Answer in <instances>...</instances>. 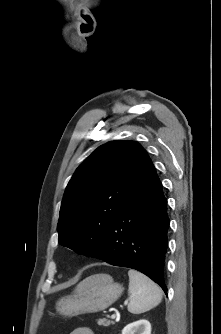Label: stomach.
I'll list each match as a JSON object with an SVG mask.
<instances>
[{
	"instance_id": "0dacf381",
	"label": "stomach",
	"mask_w": 221,
	"mask_h": 334,
	"mask_svg": "<svg viewBox=\"0 0 221 334\" xmlns=\"http://www.w3.org/2000/svg\"><path fill=\"white\" fill-rule=\"evenodd\" d=\"M122 292V285L111 276L94 274L84 279L72 295L59 299L56 310L68 317L100 312L112 305Z\"/></svg>"
}]
</instances>
